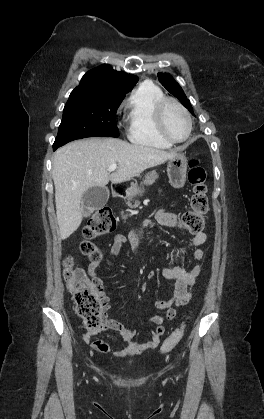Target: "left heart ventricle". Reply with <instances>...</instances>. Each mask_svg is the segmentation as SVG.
<instances>
[{
    "mask_svg": "<svg viewBox=\"0 0 264 419\" xmlns=\"http://www.w3.org/2000/svg\"><path fill=\"white\" fill-rule=\"evenodd\" d=\"M164 124L167 133L175 139H183L188 132V123L183 113L174 105L165 111Z\"/></svg>",
    "mask_w": 264,
    "mask_h": 419,
    "instance_id": "b2bd125f",
    "label": "left heart ventricle"
}]
</instances>
